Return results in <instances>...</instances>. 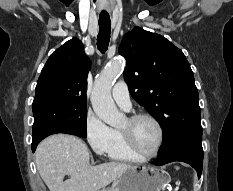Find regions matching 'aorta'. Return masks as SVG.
<instances>
[{"instance_id":"aorta-1","label":"aorta","mask_w":233,"mask_h":191,"mask_svg":"<svg viewBox=\"0 0 233 191\" xmlns=\"http://www.w3.org/2000/svg\"><path fill=\"white\" fill-rule=\"evenodd\" d=\"M125 65L123 58L111 61L96 79L91 103L96 115L112 127H118L124 115L120 113L111 96V89L116 77L122 72Z\"/></svg>"}]
</instances>
